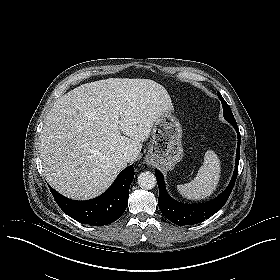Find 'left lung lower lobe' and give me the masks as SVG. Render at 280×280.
Instances as JSON below:
<instances>
[{"instance_id": "obj_1", "label": "left lung lower lobe", "mask_w": 280, "mask_h": 280, "mask_svg": "<svg viewBox=\"0 0 280 280\" xmlns=\"http://www.w3.org/2000/svg\"><path fill=\"white\" fill-rule=\"evenodd\" d=\"M232 125L235 128L238 135L235 170L230 184L228 185L226 190H224V192H222L217 198L207 203H201V204L179 203L173 200L168 195L165 189V183H164L162 173L159 172L158 170H155L158 187H159V199H158L159 208L162 214L174 224L183 226V225H191V224L199 223L209 218L216 212H218L224 206L227 199L229 198L238 174V164L240 159V141H241V136L237 125L236 124H232Z\"/></svg>"}]
</instances>
